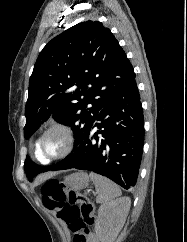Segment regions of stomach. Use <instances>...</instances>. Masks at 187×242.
I'll use <instances>...</instances> for the list:
<instances>
[{
	"label": "stomach",
	"instance_id": "obj_1",
	"mask_svg": "<svg viewBox=\"0 0 187 242\" xmlns=\"http://www.w3.org/2000/svg\"><path fill=\"white\" fill-rule=\"evenodd\" d=\"M64 183L73 190L84 189L89 185V176L84 172L73 173L65 178Z\"/></svg>",
	"mask_w": 187,
	"mask_h": 242
}]
</instances>
